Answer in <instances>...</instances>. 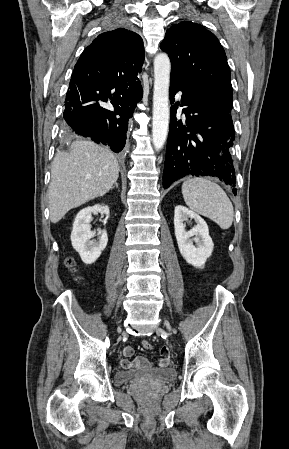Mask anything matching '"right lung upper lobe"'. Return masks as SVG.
<instances>
[{
	"instance_id": "obj_1",
	"label": "right lung upper lobe",
	"mask_w": 289,
	"mask_h": 449,
	"mask_svg": "<svg viewBox=\"0 0 289 449\" xmlns=\"http://www.w3.org/2000/svg\"><path fill=\"white\" fill-rule=\"evenodd\" d=\"M142 38L133 31L118 28L97 36L78 59L73 78L89 82H120L136 78L142 70Z\"/></svg>"
}]
</instances>
